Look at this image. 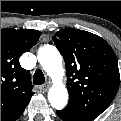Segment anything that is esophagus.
Masks as SVG:
<instances>
[{"instance_id":"esophagus-1","label":"esophagus","mask_w":121,"mask_h":121,"mask_svg":"<svg viewBox=\"0 0 121 121\" xmlns=\"http://www.w3.org/2000/svg\"><path fill=\"white\" fill-rule=\"evenodd\" d=\"M40 89H41L43 92H47L48 89H49V84H48V83L44 84L43 86H41Z\"/></svg>"}]
</instances>
